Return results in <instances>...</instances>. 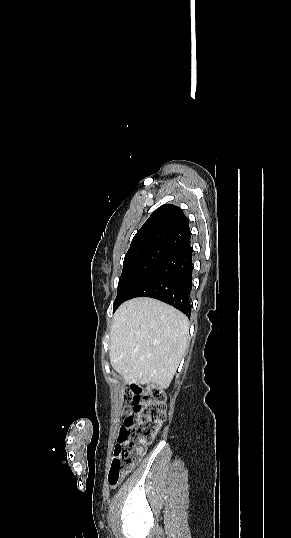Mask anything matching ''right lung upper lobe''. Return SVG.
Segmentation results:
<instances>
[{
	"instance_id": "cb5924a9",
	"label": "right lung upper lobe",
	"mask_w": 291,
	"mask_h": 538,
	"mask_svg": "<svg viewBox=\"0 0 291 538\" xmlns=\"http://www.w3.org/2000/svg\"><path fill=\"white\" fill-rule=\"evenodd\" d=\"M190 238L189 220L183 211L175 205L165 204L155 210L138 230L128 252L147 247L174 249Z\"/></svg>"
}]
</instances>
